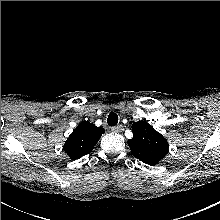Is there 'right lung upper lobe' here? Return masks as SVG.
<instances>
[{"label":"right lung upper lobe","instance_id":"cb5924a9","mask_svg":"<svg viewBox=\"0 0 220 220\" xmlns=\"http://www.w3.org/2000/svg\"><path fill=\"white\" fill-rule=\"evenodd\" d=\"M103 133L102 127L82 122L66 140L63 150L72 160L79 159L92 151Z\"/></svg>","mask_w":220,"mask_h":220}]
</instances>
